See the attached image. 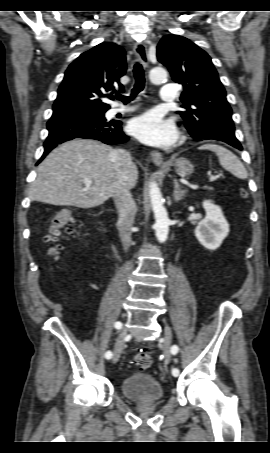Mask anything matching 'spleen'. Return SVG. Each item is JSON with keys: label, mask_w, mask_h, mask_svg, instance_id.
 I'll use <instances>...</instances> for the list:
<instances>
[{"label": "spleen", "mask_w": 270, "mask_h": 453, "mask_svg": "<svg viewBox=\"0 0 270 453\" xmlns=\"http://www.w3.org/2000/svg\"><path fill=\"white\" fill-rule=\"evenodd\" d=\"M200 149L211 150L216 153L219 158L220 165L227 171L231 172L235 177L240 179H246L248 173L239 160V158L228 149L216 145V144H205Z\"/></svg>", "instance_id": "3e777b00"}]
</instances>
